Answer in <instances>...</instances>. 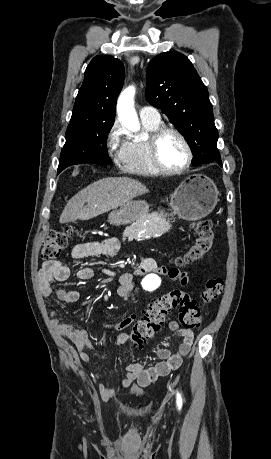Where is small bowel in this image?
<instances>
[{"label": "small bowel", "mask_w": 271, "mask_h": 459, "mask_svg": "<svg viewBox=\"0 0 271 459\" xmlns=\"http://www.w3.org/2000/svg\"><path fill=\"white\" fill-rule=\"evenodd\" d=\"M119 247L120 244L116 238L93 240L74 246L70 256L73 260H82L98 256L113 257L118 253ZM152 271L159 272L172 280L178 281L181 286H186L190 282V275L188 272L180 271L177 268H158L156 261L152 257H145L140 260V267L134 273H124L120 276V285L117 294L124 299H129L134 287V277ZM93 274V270L86 266L80 267L76 272V276L80 280H89L93 277ZM69 277L70 269L65 264L56 260L44 262L38 274V284L41 294L47 297L55 292L58 300L63 303L77 302L80 298L78 291L66 288H57L54 290L53 288L55 283L64 282ZM53 316L54 312H51V322L54 328L68 337L75 344L80 358L84 362H88L90 357L87 350L94 349L95 346L87 333L71 324L61 322ZM136 318V313L132 312L117 323L103 324L102 326L108 330L121 331L133 324ZM169 329L181 339L178 348L175 351H170L165 348L156 349L154 354L158 362L152 367H145L141 363L127 365V375L121 385L123 388L131 386L146 387L159 377L167 376L181 366L184 358L191 352L194 334L191 329L181 327L176 321H171L169 323ZM126 340L127 337L124 334H120L116 339V344H122ZM100 393L104 398L108 399L115 394V390L101 384Z\"/></svg>", "instance_id": "small-bowel-1"}]
</instances>
